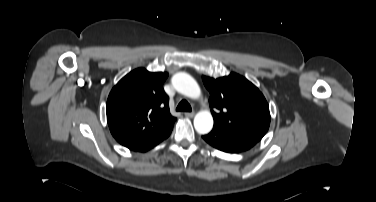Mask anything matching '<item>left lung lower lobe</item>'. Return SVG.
I'll return each instance as SVG.
<instances>
[{
    "instance_id": "obj_1",
    "label": "left lung lower lobe",
    "mask_w": 376,
    "mask_h": 202,
    "mask_svg": "<svg viewBox=\"0 0 376 202\" xmlns=\"http://www.w3.org/2000/svg\"><path fill=\"white\" fill-rule=\"evenodd\" d=\"M203 139L213 147L229 153H239L253 147L258 141L225 128L214 126Z\"/></svg>"
}]
</instances>
